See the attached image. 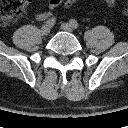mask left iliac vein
<instances>
[{
  "label": "left iliac vein",
  "mask_w": 128,
  "mask_h": 128,
  "mask_svg": "<svg viewBox=\"0 0 128 128\" xmlns=\"http://www.w3.org/2000/svg\"><path fill=\"white\" fill-rule=\"evenodd\" d=\"M61 29L71 33L74 31L73 27L69 23H62Z\"/></svg>",
  "instance_id": "obj_1"
}]
</instances>
